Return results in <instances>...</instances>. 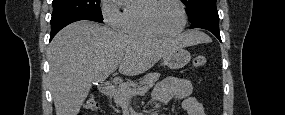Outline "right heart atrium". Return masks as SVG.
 Returning a JSON list of instances; mask_svg holds the SVG:
<instances>
[{
  "mask_svg": "<svg viewBox=\"0 0 285 115\" xmlns=\"http://www.w3.org/2000/svg\"><path fill=\"white\" fill-rule=\"evenodd\" d=\"M102 13L105 22L112 27H117V22L120 16L117 3L114 0L103 1Z\"/></svg>",
  "mask_w": 285,
  "mask_h": 115,
  "instance_id": "right-heart-atrium-1",
  "label": "right heart atrium"
}]
</instances>
